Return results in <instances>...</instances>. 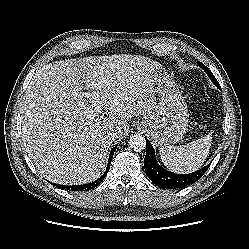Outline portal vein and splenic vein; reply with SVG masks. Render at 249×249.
Masks as SVG:
<instances>
[{
	"label": "portal vein and splenic vein",
	"mask_w": 249,
	"mask_h": 249,
	"mask_svg": "<svg viewBox=\"0 0 249 249\" xmlns=\"http://www.w3.org/2000/svg\"><path fill=\"white\" fill-rule=\"evenodd\" d=\"M87 97L90 98V100H92V103L94 104V106H96L97 110L99 111L100 109V106L99 104L95 101L97 98H96V93H86Z\"/></svg>",
	"instance_id": "1"
}]
</instances>
